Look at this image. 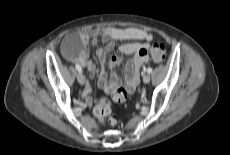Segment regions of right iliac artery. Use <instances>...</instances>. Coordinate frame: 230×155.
<instances>
[{
    "label": "right iliac artery",
    "mask_w": 230,
    "mask_h": 155,
    "mask_svg": "<svg viewBox=\"0 0 230 155\" xmlns=\"http://www.w3.org/2000/svg\"><path fill=\"white\" fill-rule=\"evenodd\" d=\"M75 67L78 72H82V68L79 64H76Z\"/></svg>",
    "instance_id": "obj_1"
}]
</instances>
